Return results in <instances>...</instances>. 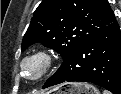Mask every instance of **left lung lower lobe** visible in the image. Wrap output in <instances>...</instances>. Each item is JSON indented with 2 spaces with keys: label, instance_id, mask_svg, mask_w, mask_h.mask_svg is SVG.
I'll list each match as a JSON object with an SVG mask.
<instances>
[{
  "label": "left lung lower lobe",
  "instance_id": "1",
  "mask_svg": "<svg viewBox=\"0 0 121 94\" xmlns=\"http://www.w3.org/2000/svg\"><path fill=\"white\" fill-rule=\"evenodd\" d=\"M65 81L91 82L121 94V32L116 20L76 48L43 89Z\"/></svg>",
  "mask_w": 121,
  "mask_h": 94
}]
</instances>
